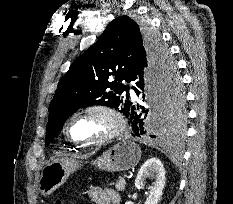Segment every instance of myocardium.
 <instances>
[{"label": "myocardium", "mask_w": 233, "mask_h": 204, "mask_svg": "<svg viewBox=\"0 0 233 204\" xmlns=\"http://www.w3.org/2000/svg\"><path fill=\"white\" fill-rule=\"evenodd\" d=\"M102 114L106 117H108L112 123L113 127L109 133L104 135L101 138H98L96 140H76L71 137L69 133V127L71 123L78 117L87 115V114ZM126 129V120L122 113L118 111L116 108L106 105V104H92L88 105L86 107H83L77 111H75L73 114L70 115V117L65 122L63 132L65 137L72 143L81 145V146H97V145H103L106 143H109L113 141L114 139L118 138Z\"/></svg>", "instance_id": "1"}]
</instances>
